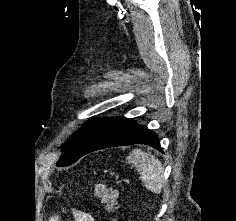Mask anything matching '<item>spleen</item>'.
Listing matches in <instances>:
<instances>
[{"label": "spleen", "instance_id": "1", "mask_svg": "<svg viewBox=\"0 0 236 221\" xmlns=\"http://www.w3.org/2000/svg\"><path fill=\"white\" fill-rule=\"evenodd\" d=\"M126 160L136 167L148 190L154 193L161 191L164 182V167L154 155L134 149Z\"/></svg>", "mask_w": 236, "mask_h": 221}]
</instances>
